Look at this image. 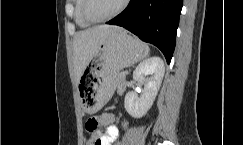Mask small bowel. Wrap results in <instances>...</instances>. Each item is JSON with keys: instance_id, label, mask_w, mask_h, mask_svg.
I'll return each instance as SVG.
<instances>
[{"instance_id": "c3829d8e", "label": "small bowel", "mask_w": 243, "mask_h": 145, "mask_svg": "<svg viewBox=\"0 0 243 145\" xmlns=\"http://www.w3.org/2000/svg\"><path fill=\"white\" fill-rule=\"evenodd\" d=\"M100 125L106 126V131L103 133L99 128L90 133V137L86 145H112L119 136L117 127V117L113 113H101L98 118Z\"/></svg>"}]
</instances>
